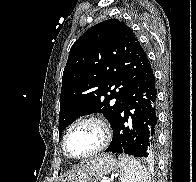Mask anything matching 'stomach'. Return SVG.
<instances>
[{"label":"stomach","mask_w":196,"mask_h":182,"mask_svg":"<svg viewBox=\"0 0 196 182\" xmlns=\"http://www.w3.org/2000/svg\"><path fill=\"white\" fill-rule=\"evenodd\" d=\"M117 168V161L113 156L99 155L68 174L62 182H93L94 178L113 173Z\"/></svg>","instance_id":"1"}]
</instances>
